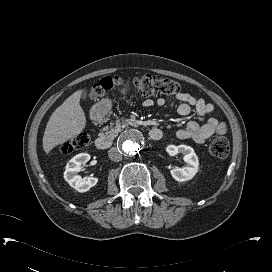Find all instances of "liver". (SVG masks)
<instances>
[{
	"label": "liver",
	"instance_id": "obj_1",
	"mask_svg": "<svg viewBox=\"0 0 272 272\" xmlns=\"http://www.w3.org/2000/svg\"><path fill=\"white\" fill-rule=\"evenodd\" d=\"M81 95L82 90L74 92L50 116L43 136L46 154L84 130L86 117L80 106Z\"/></svg>",
	"mask_w": 272,
	"mask_h": 272
}]
</instances>
